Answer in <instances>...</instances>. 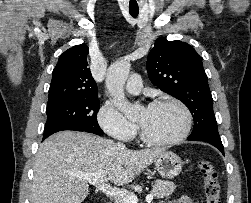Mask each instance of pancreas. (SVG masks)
Instances as JSON below:
<instances>
[{
  "mask_svg": "<svg viewBox=\"0 0 251 203\" xmlns=\"http://www.w3.org/2000/svg\"><path fill=\"white\" fill-rule=\"evenodd\" d=\"M174 190H175L174 183L164 180H155L153 185L152 195L156 198H164L171 195L174 192ZM115 203H125V201L122 199H116Z\"/></svg>",
  "mask_w": 251,
  "mask_h": 203,
  "instance_id": "1",
  "label": "pancreas"
}]
</instances>
